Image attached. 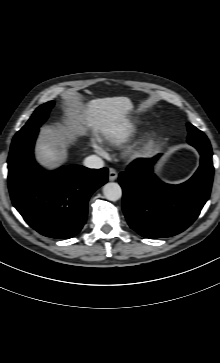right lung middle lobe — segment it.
<instances>
[{"mask_svg": "<svg viewBox=\"0 0 220 363\" xmlns=\"http://www.w3.org/2000/svg\"><path fill=\"white\" fill-rule=\"evenodd\" d=\"M53 106L54 101H49L38 107L33 115L30 117L26 125L16 133L13 141H17L22 137H25L29 133L33 132L35 129L39 128L41 124L44 123L45 120L48 118V113Z\"/></svg>", "mask_w": 220, "mask_h": 363, "instance_id": "right-lung-middle-lobe-1", "label": "right lung middle lobe"}]
</instances>
